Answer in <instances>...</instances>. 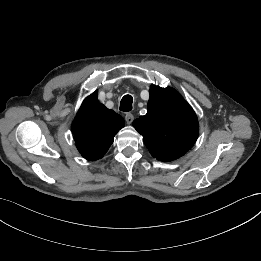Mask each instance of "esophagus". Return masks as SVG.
Instances as JSON below:
<instances>
[{
	"label": "esophagus",
	"mask_w": 261,
	"mask_h": 261,
	"mask_svg": "<svg viewBox=\"0 0 261 261\" xmlns=\"http://www.w3.org/2000/svg\"><path fill=\"white\" fill-rule=\"evenodd\" d=\"M134 120V116L131 113L125 115V121L127 124H131Z\"/></svg>",
	"instance_id": "34e87169"
}]
</instances>
